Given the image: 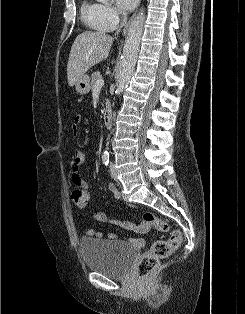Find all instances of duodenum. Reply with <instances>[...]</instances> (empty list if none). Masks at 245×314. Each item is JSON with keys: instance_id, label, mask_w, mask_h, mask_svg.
<instances>
[{"instance_id": "1", "label": "duodenum", "mask_w": 245, "mask_h": 314, "mask_svg": "<svg viewBox=\"0 0 245 314\" xmlns=\"http://www.w3.org/2000/svg\"><path fill=\"white\" fill-rule=\"evenodd\" d=\"M112 120H113V109L108 100L104 103V115H103V123L107 129L112 127Z\"/></svg>"}]
</instances>
